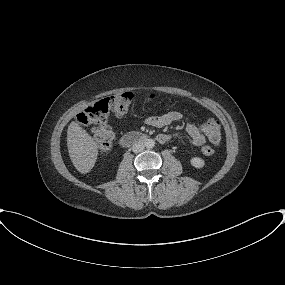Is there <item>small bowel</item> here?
<instances>
[{
    "label": "small bowel",
    "instance_id": "obj_1",
    "mask_svg": "<svg viewBox=\"0 0 285 285\" xmlns=\"http://www.w3.org/2000/svg\"><path fill=\"white\" fill-rule=\"evenodd\" d=\"M182 119L183 115L180 112L171 111L160 116H149L145 119V123L153 127L162 128ZM205 134L206 133L201 127L197 126L192 122L187 121L185 134L178 133L173 135V137L182 139L186 143L194 146H201L205 143ZM170 138L171 136L166 134H161L158 136V140L161 143L168 141Z\"/></svg>",
    "mask_w": 285,
    "mask_h": 285
}]
</instances>
